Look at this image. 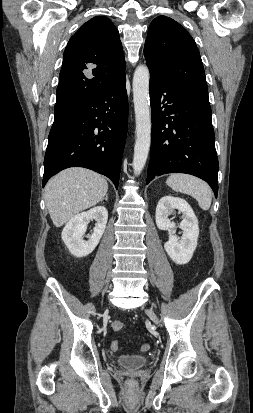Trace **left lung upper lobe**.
<instances>
[{
	"label": "left lung upper lobe",
	"mask_w": 253,
	"mask_h": 413,
	"mask_svg": "<svg viewBox=\"0 0 253 413\" xmlns=\"http://www.w3.org/2000/svg\"><path fill=\"white\" fill-rule=\"evenodd\" d=\"M144 56L150 71L174 88L210 105L200 53L192 36L175 20L159 16L152 21Z\"/></svg>",
	"instance_id": "obj_1"
}]
</instances>
